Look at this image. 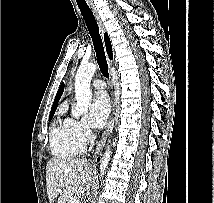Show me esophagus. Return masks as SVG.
<instances>
[{"instance_id": "1", "label": "esophagus", "mask_w": 214, "mask_h": 203, "mask_svg": "<svg viewBox=\"0 0 214 203\" xmlns=\"http://www.w3.org/2000/svg\"><path fill=\"white\" fill-rule=\"evenodd\" d=\"M91 9H92V11H93V13L95 15V18H96V20L98 22V26H99V29H100V32H101V35L103 37L104 31H105L104 23H103L100 15H99L97 9L93 5H91ZM108 65H109V67H111V65H112V62L109 59H108ZM115 108H116V99H115L114 93H112L111 115H110L109 121L107 123V126H106L105 130L102 133V137H101V140H100V142H99V144L97 146L95 155L100 153V151L102 150V148H103V146H104V144L106 142V139L108 137V134H109L112 122H113V118H114V114H115Z\"/></svg>"}]
</instances>
